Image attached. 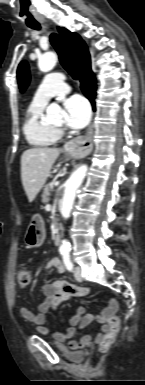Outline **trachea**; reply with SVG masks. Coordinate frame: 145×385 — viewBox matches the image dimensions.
<instances>
[{
	"label": "trachea",
	"mask_w": 145,
	"mask_h": 385,
	"mask_svg": "<svg viewBox=\"0 0 145 385\" xmlns=\"http://www.w3.org/2000/svg\"><path fill=\"white\" fill-rule=\"evenodd\" d=\"M30 28L35 29V30H39L41 28V26L40 25H33V26H30ZM50 42H51L52 46L54 47V49L56 50L58 57H59V61H60L61 65L63 66V68L72 76L73 79L77 80L78 74L75 71V69L73 68V66L69 60V57H68V55H67V53H66V51L62 45V40H61L60 36L58 34L52 33L50 35Z\"/></svg>",
	"instance_id": "obj_1"
}]
</instances>
